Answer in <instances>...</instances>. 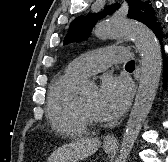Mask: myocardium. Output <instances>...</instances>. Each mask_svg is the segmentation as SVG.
Listing matches in <instances>:
<instances>
[{"label": "myocardium", "mask_w": 168, "mask_h": 162, "mask_svg": "<svg viewBox=\"0 0 168 162\" xmlns=\"http://www.w3.org/2000/svg\"><path fill=\"white\" fill-rule=\"evenodd\" d=\"M76 109H77V113L80 117V119L86 124V125H99L101 124L99 119H96L95 117H93L86 109L82 97L78 96L77 97V101H76Z\"/></svg>", "instance_id": "1"}]
</instances>
